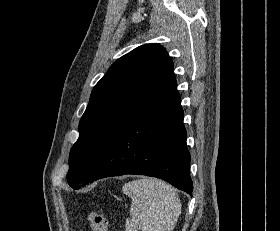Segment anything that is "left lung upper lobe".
Here are the masks:
<instances>
[{
  "label": "left lung upper lobe",
  "instance_id": "5c2ea615",
  "mask_svg": "<svg viewBox=\"0 0 280 231\" xmlns=\"http://www.w3.org/2000/svg\"><path fill=\"white\" fill-rule=\"evenodd\" d=\"M173 62L159 44L139 46L114 62L92 90L69 155L68 184L79 189L108 145L176 89Z\"/></svg>",
  "mask_w": 280,
  "mask_h": 231
}]
</instances>
